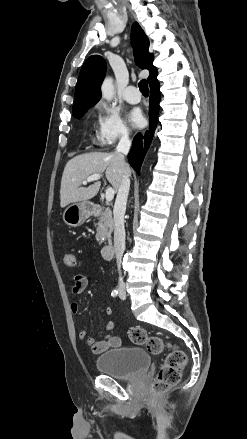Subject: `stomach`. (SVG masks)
Returning a JSON list of instances; mask_svg holds the SVG:
<instances>
[{"mask_svg":"<svg viewBox=\"0 0 247 439\" xmlns=\"http://www.w3.org/2000/svg\"><path fill=\"white\" fill-rule=\"evenodd\" d=\"M90 215L86 202L74 203L68 206L63 213L64 222L71 227L81 226Z\"/></svg>","mask_w":247,"mask_h":439,"instance_id":"0dacf381","label":"stomach"}]
</instances>
